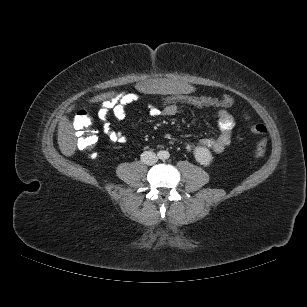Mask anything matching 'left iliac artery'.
Masks as SVG:
<instances>
[{
    "instance_id": "obj_1",
    "label": "left iliac artery",
    "mask_w": 307,
    "mask_h": 307,
    "mask_svg": "<svg viewBox=\"0 0 307 307\" xmlns=\"http://www.w3.org/2000/svg\"><path fill=\"white\" fill-rule=\"evenodd\" d=\"M168 157H169V155L167 154V155H166V158H168Z\"/></svg>"
}]
</instances>
